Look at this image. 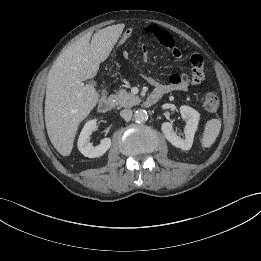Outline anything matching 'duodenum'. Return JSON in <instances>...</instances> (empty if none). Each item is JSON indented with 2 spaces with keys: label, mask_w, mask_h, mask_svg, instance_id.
Here are the masks:
<instances>
[{
  "label": "duodenum",
  "mask_w": 261,
  "mask_h": 261,
  "mask_svg": "<svg viewBox=\"0 0 261 261\" xmlns=\"http://www.w3.org/2000/svg\"><path fill=\"white\" fill-rule=\"evenodd\" d=\"M162 93L158 91H153L151 94L147 96V98L144 101V105L146 107L153 106L156 104L159 99L161 98ZM113 101L107 97H103L101 101L99 102L98 109L101 113H108L113 109Z\"/></svg>",
  "instance_id": "duodenum-1"
}]
</instances>
